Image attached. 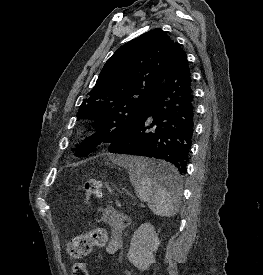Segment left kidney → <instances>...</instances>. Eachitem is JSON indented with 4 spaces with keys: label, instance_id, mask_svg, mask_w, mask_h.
I'll return each instance as SVG.
<instances>
[{
    "label": "left kidney",
    "instance_id": "5707ae66",
    "mask_svg": "<svg viewBox=\"0 0 263 275\" xmlns=\"http://www.w3.org/2000/svg\"><path fill=\"white\" fill-rule=\"evenodd\" d=\"M160 241L154 226L149 223L141 224L134 232L127 258L139 270H147L155 262V252Z\"/></svg>",
    "mask_w": 263,
    "mask_h": 275
}]
</instances>
